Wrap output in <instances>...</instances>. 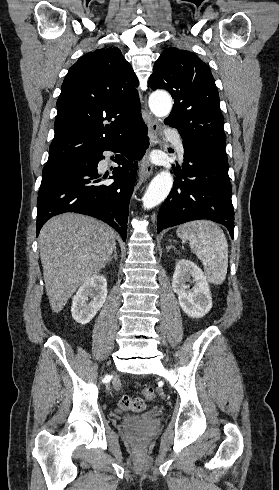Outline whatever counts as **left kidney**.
<instances>
[{
  "label": "left kidney",
  "instance_id": "obj_1",
  "mask_svg": "<svg viewBox=\"0 0 279 490\" xmlns=\"http://www.w3.org/2000/svg\"><path fill=\"white\" fill-rule=\"evenodd\" d=\"M186 282L194 284L193 288ZM172 290L178 296L180 308L189 318H203L210 312L212 298L207 278L194 262L179 260L173 274Z\"/></svg>",
  "mask_w": 279,
  "mask_h": 490
}]
</instances>
